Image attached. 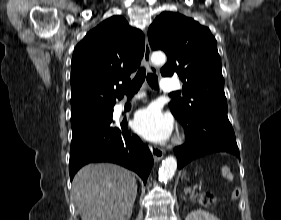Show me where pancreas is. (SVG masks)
<instances>
[{
	"mask_svg": "<svg viewBox=\"0 0 281 220\" xmlns=\"http://www.w3.org/2000/svg\"><path fill=\"white\" fill-rule=\"evenodd\" d=\"M192 197H193V198L195 197V193H192Z\"/></svg>",
	"mask_w": 281,
	"mask_h": 220,
	"instance_id": "1",
	"label": "pancreas"
}]
</instances>
